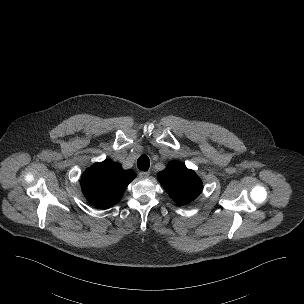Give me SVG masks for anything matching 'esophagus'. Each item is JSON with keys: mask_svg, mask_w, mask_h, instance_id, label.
I'll list each match as a JSON object with an SVG mask.
<instances>
[{"mask_svg": "<svg viewBox=\"0 0 304 304\" xmlns=\"http://www.w3.org/2000/svg\"><path fill=\"white\" fill-rule=\"evenodd\" d=\"M149 175H150V172H149V171H141V172L139 173V176H140V178H142V179L148 178Z\"/></svg>", "mask_w": 304, "mask_h": 304, "instance_id": "esophagus-1", "label": "esophagus"}]
</instances>
